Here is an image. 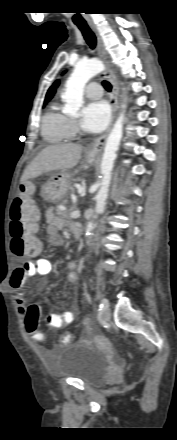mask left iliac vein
<instances>
[{"label": "left iliac vein", "mask_w": 177, "mask_h": 440, "mask_svg": "<svg viewBox=\"0 0 177 440\" xmlns=\"http://www.w3.org/2000/svg\"><path fill=\"white\" fill-rule=\"evenodd\" d=\"M101 315H102V319H103L104 321H109V320H110V318H111V311H110V308H109V304H108L107 307L102 311Z\"/></svg>", "instance_id": "left-iliac-vein-1"}]
</instances>
